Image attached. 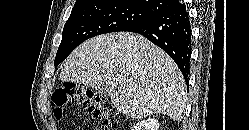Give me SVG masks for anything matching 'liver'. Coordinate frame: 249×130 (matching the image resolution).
Listing matches in <instances>:
<instances>
[{"label":"liver","mask_w":249,"mask_h":130,"mask_svg":"<svg viewBox=\"0 0 249 130\" xmlns=\"http://www.w3.org/2000/svg\"><path fill=\"white\" fill-rule=\"evenodd\" d=\"M62 82L108 87L114 107L141 119L164 114L183 118L187 91L176 63L141 35L119 32L91 38L63 64Z\"/></svg>","instance_id":"1"}]
</instances>
